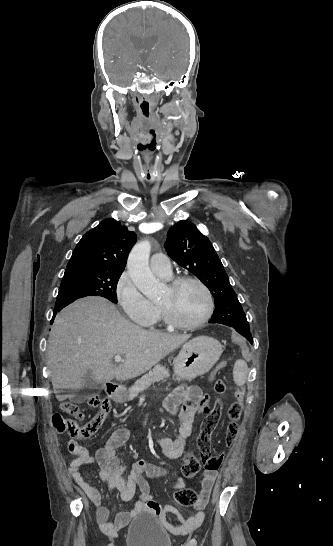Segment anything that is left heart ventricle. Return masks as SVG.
<instances>
[{"label": "left heart ventricle", "mask_w": 333, "mask_h": 546, "mask_svg": "<svg viewBox=\"0 0 333 546\" xmlns=\"http://www.w3.org/2000/svg\"><path fill=\"white\" fill-rule=\"evenodd\" d=\"M158 303L165 306L178 321L193 323L203 315L206 297L199 286L185 283L175 290L167 287Z\"/></svg>", "instance_id": "obj_1"}]
</instances>
